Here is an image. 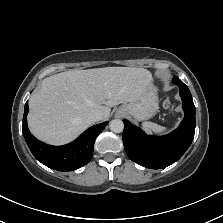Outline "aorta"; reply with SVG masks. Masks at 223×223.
Returning a JSON list of instances; mask_svg holds the SVG:
<instances>
[{"label":"aorta","instance_id":"762f6f07","mask_svg":"<svg viewBox=\"0 0 223 223\" xmlns=\"http://www.w3.org/2000/svg\"><path fill=\"white\" fill-rule=\"evenodd\" d=\"M109 127L112 132L120 133L124 129V123L122 120L115 119L110 122Z\"/></svg>","mask_w":223,"mask_h":223}]
</instances>
